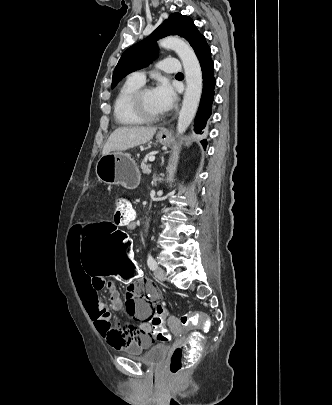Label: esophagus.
<instances>
[{
    "label": "esophagus",
    "instance_id": "1",
    "mask_svg": "<svg viewBox=\"0 0 332 405\" xmlns=\"http://www.w3.org/2000/svg\"><path fill=\"white\" fill-rule=\"evenodd\" d=\"M161 134L167 136V135H168V131H162Z\"/></svg>",
    "mask_w": 332,
    "mask_h": 405
}]
</instances>
